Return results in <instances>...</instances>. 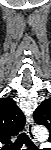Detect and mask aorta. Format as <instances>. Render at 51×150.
Here are the masks:
<instances>
[{"mask_svg": "<svg viewBox=\"0 0 51 150\" xmlns=\"http://www.w3.org/2000/svg\"><path fill=\"white\" fill-rule=\"evenodd\" d=\"M34 134L39 142H43L48 139V131L44 126H36L34 128Z\"/></svg>", "mask_w": 51, "mask_h": 150, "instance_id": "obj_1", "label": "aorta"}]
</instances>
